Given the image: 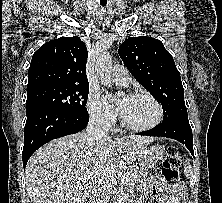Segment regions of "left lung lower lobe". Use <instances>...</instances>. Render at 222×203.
I'll use <instances>...</instances> for the list:
<instances>
[{
  "label": "left lung lower lobe",
  "instance_id": "1",
  "mask_svg": "<svg viewBox=\"0 0 222 203\" xmlns=\"http://www.w3.org/2000/svg\"><path fill=\"white\" fill-rule=\"evenodd\" d=\"M138 134L175 139L182 144H185L190 153L194 156L192 129L190 127L188 118H171L167 121H163L161 124L148 131H143Z\"/></svg>",
  "mask_w": 222,
  "mask_h": 203
}]
</instances>
